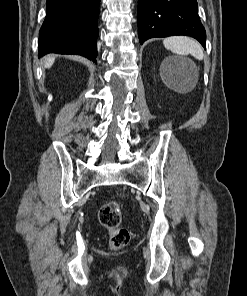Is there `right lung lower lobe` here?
I'll use <instances>...</instances> for the list:
<instances>
[{"instance_id":"obj_1","label":"right lung lower lobe","mask_w":247,"mask_h":296,"mask_svg":"<svg viewBox=\"0 0 247 296\" xmlns=\"http://www.w3.org/2000/svg\"><path fill=\"white\" fill-rule=\"evenodd\" d=\"M100 0H47L39 31V57L78 54L96 62Z\"/></svg>"}]
</instances>
